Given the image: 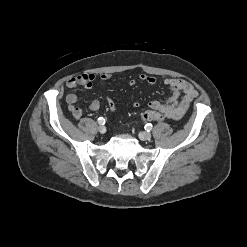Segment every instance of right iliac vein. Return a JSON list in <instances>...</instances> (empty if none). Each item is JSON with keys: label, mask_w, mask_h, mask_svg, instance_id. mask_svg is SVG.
Instances as JSON below:
<instances>
[{"label": "right iliac vein", "mask_w": 247, "mask_h": 247, "mask_svg": "<svg viewBox=\"0 0 247 247\" xmlns=\"http://www.w3.org/2000/svg\"><path fill=\"white\" fill-rule=\"evenodd\" d=\"M98 131L101 133V134H104L106 132V128L104 126H99L98 127Z\"/></svg>", "instance_id": "1"}]
</instances>
